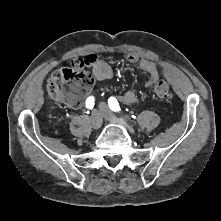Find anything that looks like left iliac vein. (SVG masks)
Wrapping results in <instances>:
<instances>
[{
	"label": "left iliac vein",
	"instance_id": "4c4485c4",
	"mask_svg": "<svg viewBox=\"0 0 221 221\" xmlns=\"http://www.w3.org/2000/svg\"><path fill=\"white\" fill-rule=\"evenodd\" d=\"M100 110L105 119L129 128L127 123L123 119L116 117L105 103L100 104Z\"/></svg>",
	"mask_w": 221,
	"mask_h": 221
}]
</instances>
